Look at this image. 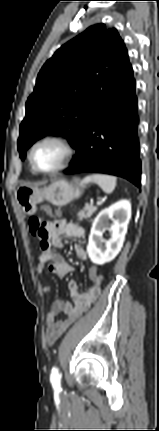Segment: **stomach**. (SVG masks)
Segmentation results:
<instances>
[{
  "instance_id": "stomach-1",
  "label": "stomach",
  "mask_w": 159,
  "mask_h": 431,
  "mask_svg": "<svg viewBox=\"0 0 159 431\" xmlns=\"http://www.w3.org/2000/svg\"><path fill=\"white\" fill-rule=\"evenodd\" d=\"M85 188L86 186L83 182L69 183L65 180H57L44 188L20 185L16 189L15 197L23 213L32 215L37 210V204L48 201L55 206H65L69 202L80 198Z\"/></svg>"
}]
</instances>
